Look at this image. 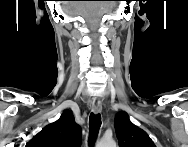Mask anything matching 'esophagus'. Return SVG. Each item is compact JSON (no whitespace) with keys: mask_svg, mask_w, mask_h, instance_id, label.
<instances>
[{"mask_svg":"<svg viewBox=\"0 0 188 147\" xmlns=\"http://www.w3.org/2000/svg\"><path fill=\"white\" fill-rule=\"evenodd\" d=\"M92 111L98 114L102 111V103L99 99H94L92 102Z\"/></svg>","mask_w":188,"mask_h":147,"instance_id":"obj_1","label":"esophagus"}]
</instances>
